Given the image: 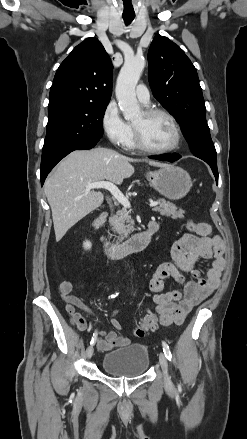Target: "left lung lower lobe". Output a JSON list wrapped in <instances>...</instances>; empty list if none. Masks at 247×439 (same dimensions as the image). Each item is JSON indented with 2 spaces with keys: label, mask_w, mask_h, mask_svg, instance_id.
I'll return each instance as SVG.
<instances>
[{
  "label": "left lung lower lobe",
  "mask_w": 247,
  "mask_h": 439,
  "mask_svg": "<svg viewBox=\"0 0 247 439\" xmlns=\"http://www.w3.org/2000/svg\"><path fill=\"white\" fill-rule=\"evenodd\" d=\"M181 156L177 155V154H163V155H158V156H151V159H156V160H160V161H168V162H174L176 160H178ZM216 181L218 183V171L216 169H212Z\"/></svg>",
  "instance_id": "left-lung-lower-lobe-1"
}]
</instances>
